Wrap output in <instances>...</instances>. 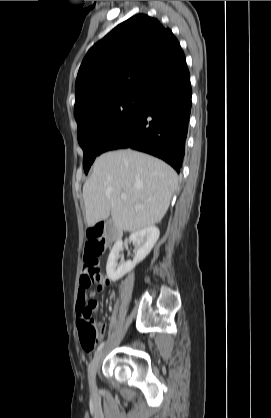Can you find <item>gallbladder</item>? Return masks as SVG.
Wrapping results in <instances>:
<instances>
[{
	"instance_id": "1",
	"label": "gallbladder",
	"mask_w": 271,
	"mask_h": 418,
	"mask_svg": "<svg viewBox=\"0 0 271 418\" xmlns=\"http://www.w3.org/2000/svg\"><path fill=\"white\" fill-rule=\"evenodd\" d=\"M106 232L109 236H119L120 231L114 226L111 219L106 221Z\"/></svg>"
}]
</instances>
